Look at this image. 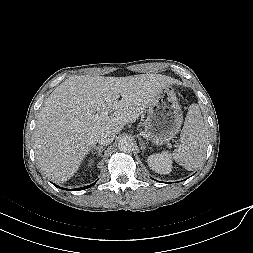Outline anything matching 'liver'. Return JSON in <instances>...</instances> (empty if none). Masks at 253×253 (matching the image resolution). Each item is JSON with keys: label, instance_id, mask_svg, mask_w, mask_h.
Instances as JSON below:
<instances>
[{"label": "liver", "instance_id": "liver-1", "mask_svg": "<svg viewBox=\"0 0 253 253\" xmlns=\"http://www.w3.org/2000/svg\"><path fill=\"white\" fill-rule=\"evenodd\" d=\"M172 84H178V80L161 74L66 79L39 113L34 136L38 166L52 180L67 181L96 144L100 130L118 134ZM104 111L114 114L101 117Z\"/></svg>", "mask_w": 253, "mask_h": 253}]
</instances>
